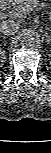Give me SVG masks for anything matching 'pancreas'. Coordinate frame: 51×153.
<instances>
[{
  "mask_svg": "<svg viewBox=\"0 0 51 153\" xmlns=\"http://www.w3.org/2000/svg\"><path fill=\"white\" fill-rule=\"evenodd\" d=\"M44 6H46V4L40 3L39 0H26V2H24L23 4L13 7L10 14L14 16L15 13H19V11L23 9L28 10L30 12L34 9H38L39 7Z\"/></svg>",
  "mask_w": 51,
  "mask_h": 153,
  "instance_id": "pancreas-1",
  "label": "pancreas"
}]
</instances>
